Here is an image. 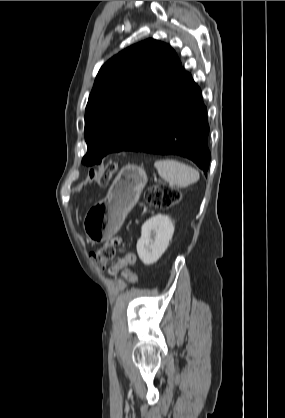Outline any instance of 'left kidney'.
<instances>
[{
	"label": "left kidney",
	"mask_w": 285,
	"mask_h": 418,
	"mask_svg": "<svg viewBox=\"0 0 285 418\" xmlns=\"http://www.w3.org/2000/svg\"><path fill=\"white\" fill-rule=\"evenodd\" d=\"M174 233V225L167 215H155L141 227L137 253L145 265L155 263L166 251Z\"/></svg>",
	"instance_id": "obj_1"
}]
</instances>
